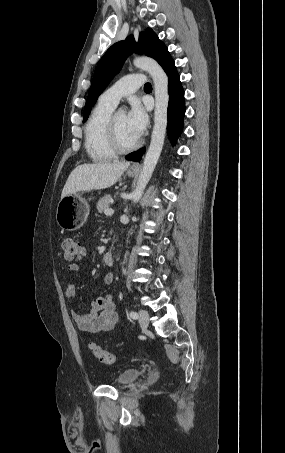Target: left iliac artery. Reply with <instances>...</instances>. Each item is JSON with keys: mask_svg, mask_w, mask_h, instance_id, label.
<instances>
[{"mask_svg": "<svg viewBox=\"0 0 285 453\" xmlns=\"http://www.w3.org/2000/svg\"><path fill=\"white\" fill-rule=\"evenodd\" d=\"M129 315L133 319H137L138 318V314L136 312H134V311H131Z\"/></svg>", "mask_w": 285, "mask_h": 453, "instance_id": "obj_1", "label": "left iliac artery"}]
</instances>
